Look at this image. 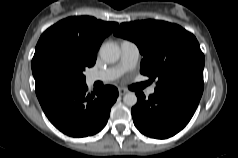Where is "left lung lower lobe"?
Wrapping results in <instances>:
<instances>
[{
  "label": "left lung lower lobe",
  "instance_id": "0a47b994",
  "mask_svg": "<svg viewBox=\"0 0 238 158\" xmlns=\"http://www.w3.org/2000/svg\"><path fill=\"white\" fill-rule=\"evenodd\" d=\"M203 88V80L191 79L155 88L148 99L142 92H136L138 102L131 110L136 128L155 139L174 136L192 118Z\"/></svg>",
  "mask_w": 238,
  "mask_h": 158
}]
</instances>
